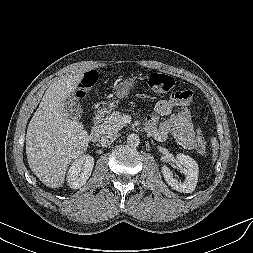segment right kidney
I'll return each instance as SVG.
<instances>
[{
    "label": "right kidney",
    "instance_id": "obj_1",
    "mask_svg": "<svg viewBox=\"0 0 253 253\" xmlns=\"http://www.w3.org/2000/svg\"><path fill=\"white\" fill-rule=\"evenodd\" d=\"M94 166V158L90 155H82L71 164L67 183L72 189L81 188L89 179Z\"/></svg>",
    "mask_w": 253,
    "mask_h": 253
}]
</instances>
